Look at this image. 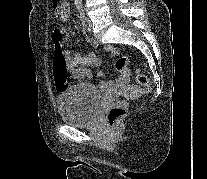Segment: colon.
Wrapping results in <instances>:
<instances>
[{"label":"colon","mask_w":207,"mask_h":179,"mask_svg":"<svg viewBox=\"0 0 207 179\" xmlns=\"http://www.w3.org/2000/svg\"><path fill=\"white\" fill-rule=\"evenodd\" d=\"M53 11L56 16H62L68 10V4L66 0H52ZM53 43H54V59H53V69L57 79V83L61 87H66L68 85L67 75L68 67L67 60L62 51L61 39L62 35L59 31L53 32ZM129 59L126 56L119 58L116 61V69L124 75H129L128 70ZM136 81L139 85L138 92L141 94H146L151 91L152 83L151 81L141 72L136 71L135 73ZM127 113V102L124 100L116 101L109 109L107 113V122L110 125H115L119 120H121Z\"/></svg>","instance_id":"obj_1"}]
</instances>
